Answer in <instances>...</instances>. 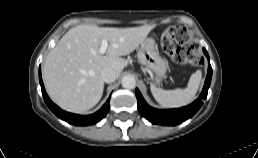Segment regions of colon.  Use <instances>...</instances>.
<instances>
[{
	"instance_id": "1",
	"label": "colon",
	"mask_w": 258,
	"mask_h": 158,
	"mask_svg": "<svg viewBox=\"0 0 258 158\" xmlns=\"http://www.w3.org/2000/svg\"><path fill=\"white\" fill-rule=\"evenodd\" d=\"M192 38L183 26H172L164 31L161 37V48L177 64L199 66L201 58L190 46Z\"/></svg>"
}]
</instances>
